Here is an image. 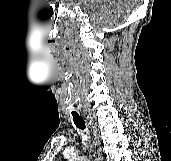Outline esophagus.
Instances as JSON below:
<instances>
[{
    "instance_id": "obj_1",
    "label": "esophagus",
    "mask_w": 171,
    "mask_h": 161,
    "mask_svg": "<svg viewBox=\"0 0 171 161\" xmlns=\"http://www.w3.org/2000/svg\"><path fill=\"white\" fill-rule=\"evenodd\" d=\"M86 122L88 124H91L92 119L90 116H86ZM93 137H94V156H95V159H96V161H102L99 135H98L97 129L94 127H93Z\"/></svg>"
}]
</instances>
